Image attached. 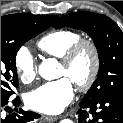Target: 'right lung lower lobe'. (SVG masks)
<instances>
[{
  "instance_id": "right-lung-lower-lobe-1",
  "label": "right lung lower lobe",
  "mask_w": 123,
  "mask_h": 123,
  "mask_svg": "<svg viewBox=\"0 0 123 123\" xmlns=\"http://www.w3.org/2000/svg\"><path fill=\"white\" fill-rule=\"evenodd\" d=\"M9 98H1V112L2 109L9 103ZM12 103L14 106H19L20 99L19 97H16L12 100ZM8 107H5L7 109ZM17 110V108H15ZM40 115L31 111H24L22 109H19L17 113H12L7 115L6 117L1 114V123H26L29 121H32L34 119L39 118Z\"/></svg>"
}]
</instances>
